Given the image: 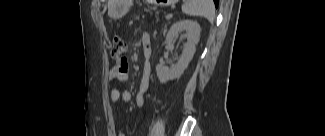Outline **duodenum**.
Segmentation results:
<instances>
[{"mask_svg": "<svg viewBox=\"0 0 325 136\" xmlns=\"http://www.w3.org/2000/svg\"><path fill=\"white\" fill-rule=\"evenodd\" d=\"M143 44H144V46H145V50H146V48H147V45L143 42ZM146 52V51H145Z\"/></svg>", "mask_w": 325, "mask_h": 136, "instance_id": "obj_1", "label": "duodenum"}]
</instances>
